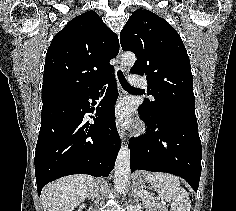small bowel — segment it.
<instances>
[{
  "instance_id": "small-bowel-1",
  "label": "small bowel",
  "mask_w": 236,
  "mask_h": 211,
  "mask_svg": "<svg viewBox=\"0 0 236 211\" xmlns=\"http://www.w3.org/2000/svg\"><path fill=\"white\" fill-rule=\"evenodd\" d=\"M150 211H164V209L161 204L156 203L155 205H153V207Z\"/></svg>"
}]
</instances>
